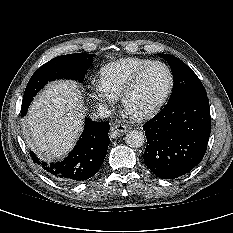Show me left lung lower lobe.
Listing matches in <instances>:
<instances>
[{"mask_svg":"<svg viewBox=\"0 0 233 233\" xmlns=\"http://www.w3.org/2000/svg\"><path fill=\"white\" fill-rule=\"evenodd\" d=\"M147 137L145 165L158 177L174 179L191 171L206 152L211 118L207 96L168 101L143 125Z\"/></svg>","mask_w":233,"mask_h":233,"instance_id":"obj_1","label":"left lung lower lobe"}]
</instances>
